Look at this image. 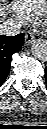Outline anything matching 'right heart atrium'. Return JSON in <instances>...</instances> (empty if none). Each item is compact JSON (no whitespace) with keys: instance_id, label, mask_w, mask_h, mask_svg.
I'll return each instance as SVG.
<instances>
[{"instance_id":"right-heart-atrium-1","label":"right heart atrium","mask_w":47,"mask_h":129,"mask_svg":"<svg viewBox=\"0 0 47 129\" xmlns=\"http://www.w3.org/2000/svg\"><path fill=\"white\" fill-rule=\"evenodd\" d=\"M9 11L13 18L20 24L24 25L31 20V17L26 11L18 4L17 1L10 3Z\"/></svg>"}]
</instances>
